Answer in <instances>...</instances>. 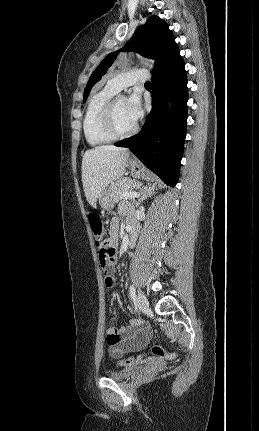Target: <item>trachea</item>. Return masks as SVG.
Here are the masks:
<instances>
[{"instance_id": "3493384b", "label": "trachea", "mask_w": 259, "mask_h": 431, "mask_svg": "<svg viewBox=\"0 0 259 431\" xmlns=\"http://www.w3.org/2000/svg\"><path fill=\"white\" fill-rule=\"evenodd\" d=\"M145 85H151V82H150V81H147V82L145 83Z\"/></svg>"}]
</instances>
